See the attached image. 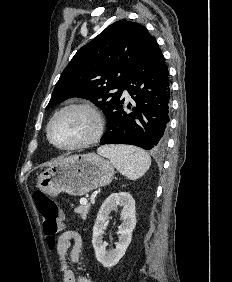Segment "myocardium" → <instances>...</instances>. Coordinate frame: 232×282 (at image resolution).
Wrapping results in <instances>:
<instances>
[{
	"instance_id": "f54148a6",
	"label": "myocardium",
	"mask_w": 232,
	"mask_h": 282,
	"mask_svg": "<svg viewBox=\"0 0 232 282\" xmlns=\"http://www.w3.org/2000/svg\"><path fill=\"white\" fill-rule=\"evenodd\" d=\"M73 109H79V110H84L87 111L88 113H90L94 120H95V129L94 132L91 134V136H89L87 139L72 144V145H59L56 142H54L52 135H51V128L52 125L54 123V121L63 113L69 111V110H73ZM103 131H104V121L103 118L101 116V113L99 112V110L91 103L88 102H75V103H69L63 107H61L59 110H57L53 116L50 118L47 127H46V134H47V139L49 141V143L59 149V150H65V151H72V150H79V149H83L86 147H89L93 144H95L96 142H98L100 140V138L103 135Z\"/></svg>"
}]
</instances>
